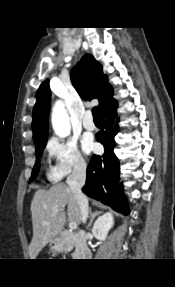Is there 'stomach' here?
Masks as SVG:
<instances>
[{
	"instance_id": "stomach-1",
	"label": "stomach",
	"mask_w": 175,
	"mask_h": 287,
	"mask_svg": "<svg viewBox=\"0 0 175 287\" xmlns=\"http://www.w3.org/2000/svg\"><path fill=\"white\" fill-rule=\"evenodd\" d=\"M49 247L52 251L59 252L64 247V241L60 236H56L49 242Z\"/></svg>"
}]
</instances>
